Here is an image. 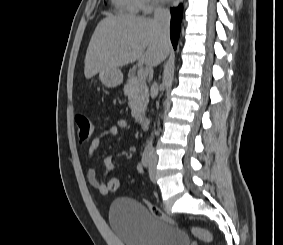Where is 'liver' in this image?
<instances>
[{"instance_id": "6515ba94", "label": "liver", "mask_w": 283, "mask_h": 245, "mask_svg": "<svg viewBox=\"0 0 283 245\" xmlns=\"http://www.w3.org/2000/svg\"><path fill=\"white\" fill-rule=\"evenodd\" d=\"M170 40L153 19L108 15L97 25L89 42L84 75L90 79L105 68L139 61L153 67L166 59Z\"/></svg>"}]
</instances>
